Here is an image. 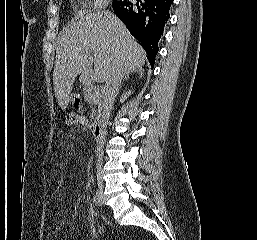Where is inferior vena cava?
I'll list each match as a JSON object with an SVG mask.
<instances>
[{"label":"inferior vena cava","mask_w":257,"mask_h":240,"mask_svg":"<svg viewBox=\"0 0 257 240\" xmlns=\"http://www.w3.org/2000/svg\"><path fill=\"white\" fill-rule=\"evenodd\" d=\"M122 73H123V69L120 62V58L116 56L114 59V64L111 69V72L102 89L103 102H102V112H101V127H102V134L100 137L101 147L105 142L106 126L108 124L110 113L113 108L115 97L117 96V93H118V88L120 85ZM101 167H102V156L99 154L97 171H100Z\"/></svg>","instance_id":"602c4592"}]
</instances>
